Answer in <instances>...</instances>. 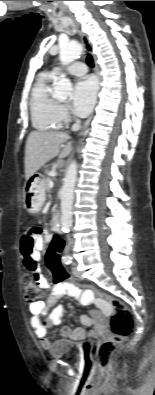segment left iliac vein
<instances>
[{
  "label": "left iliac vein",
  "mask_w": 155,
  "mask_h": 395,
  "mask_svg": "<svg viewBox=\"0 0 155 395\" xmlns=\"http://www.w3.org/2000/svg\"><path fill=\"white\" fill-rule=\"evenodd\" d=\"M72 272H73V275H74L75 277H77V278H81V277H80V274H79V271L77 270V268H76V267H73V270H72Z\"/></svg>",
  "instance_id": "left-iliac-vein-1"
}]
</instances>
